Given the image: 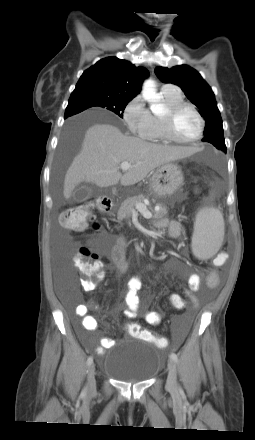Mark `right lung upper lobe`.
I'll return each instance as SVG.
<instances>
[{"label": "right lung upper lobe", "mask_w": 255, "mask_h": 440, "mask_svg": "<svg viewBox=\"0 0 255 440\" xmlns=\"http://www.w3.org/2000/svg\"><path fill=\"white\" fill-rule=\"evenodd\" d=\"M147 76L148 70L144 67H136L117 57H107L84 71L72 93L102 92L133 99L141 91Z\"/></svg>", "instance_id": "1"}]
</instances>
